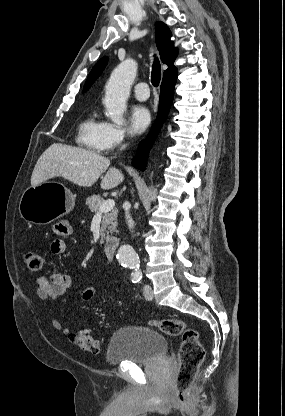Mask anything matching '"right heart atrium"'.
I'll list each match as a JSON object with an SVG mask.
<instances>
[{"mask_svg":"<svg viewBox=\"0 0 285 416\" xmlns=\"http://www.w3.org/2000/svg\"><path fill=\"white\" fill-rule=\"evenodd\" d=\"M128 131L120 124L104 121V127L99 138L101 151H111L124 144Z\"/></svg>","mask_w":285,"mask_h":416,"instance_id":"1","label":"right heart atrium"}]
</instances>
